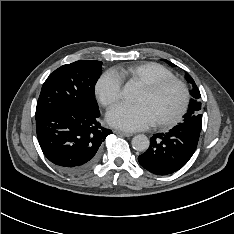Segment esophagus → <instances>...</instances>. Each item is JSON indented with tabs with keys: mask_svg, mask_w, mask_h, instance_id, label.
Segmentation results:
<instances>
[{
	"mask_svg": "<svg viewBox=\"0 0 234 234\" xmlns=\"http://www.w3.org/2000/svg\"><path fill=\"white\" fill-rule=\"evenodd\" d=\"M114 133H115V134L122 135V136H125V137H131V136H133V134H132V133H129V132H123V131H119V130H114Z\"/></svg>",
	"mask_w": 234,
	"mask_h": 234,
	"instance_id": "1",
	"label": "esophagus"
}]
</instances>
